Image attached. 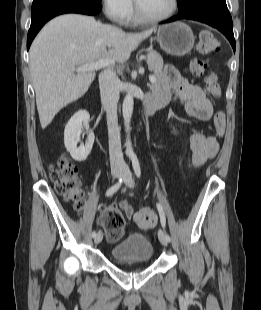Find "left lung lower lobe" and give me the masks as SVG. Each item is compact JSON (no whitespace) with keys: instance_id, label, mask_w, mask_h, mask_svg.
Masks as SVG:
<instances>
[{"instance_id":"0a47b994","label":"left lung lower lobe","mask_w":261,"mask_h":310,"mask_svg":"<svg viewBox=\"0 0 261 310\" xmlns=\"http://www.w3.org/2000/svg\"><path fill=\"white\" fill-rule=\"evenodd\" d=\"M179 19H191L217 28L227 37L235 51L236 43L233 34L232 18L228 11L226 0H206L196 10L184 15L178 14L163 23L174 22Z\"/></svg>"}]
</instances>
